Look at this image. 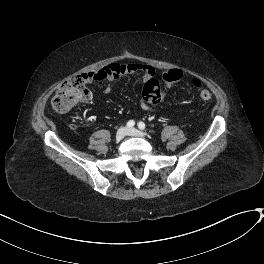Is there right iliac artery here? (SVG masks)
Segmentation results:
<instances>
[{
    "label": "right iliac artery",
    "mask_w": 264,
    "mask_h": 264,
    "mask_svg": "<svg viewBox=\"0 0 264 264\" xmlns=\"http://www.w3.org/2000/svg\"><path fill=\"white\" fill-rule=\"evenodd\" d=\"M134 125H135V121H133V120H130L127 122V127H129V128L133 127Z\"/></svg>",
    "instance_id": "82829eb1"
}]
</instances>
